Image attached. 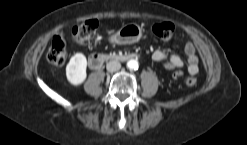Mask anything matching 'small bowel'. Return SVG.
Returning <instances> with one entry per match:
<instances>
[{"label":"small bowel","mask_w":247,"mask_h":145,"mask_svg":"<svg viewBox=\"0 0 247 145\" xmlns=\"http://www.w3.org/2000/svg\"><path fill=\"white\" fill-rule=\"evenodd\" d=\"M186 55L187 70L189 74L195 75L199 71L198 57L193 43L189 42L184 47ZM152 59L156 62H165L167 69L180 68L183 66V60L176 54H169L163 50H156L152 53Z\"/></svg>","instance_id":"1"}]
</instances>
